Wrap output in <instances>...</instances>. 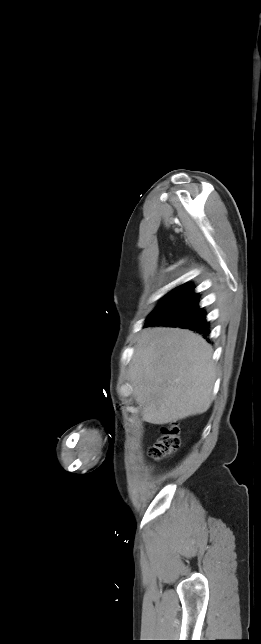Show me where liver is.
I'll use <instances>...</instances> for the list:
<instances>
[{"instance_id": "1", "label": "liver", "mask_w": 261, "mask_h": 644, "mask_svg": "<svg viewBox=\"0 0 261 644\" xmlns=\"http://www.w3.org/2000/svg\"><path fill=\"white\" fill-rule=\"evenodd\" d=\"M212 353V347L189 330H143L129 369L142 419L163 425L206 412L216 378Z\"/></svg>"}]
</instances>
